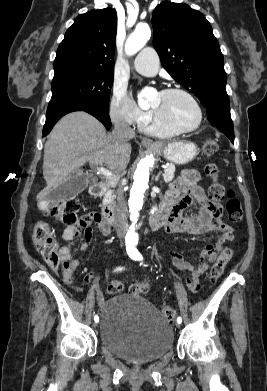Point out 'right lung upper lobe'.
Listing matches in <instances>:
<instances>
[{"label": "right lung upper lobe", "mask_w": 267, "mask_h": 391, "mask_svg": "<svg viewBox=\"0 0 267 391\" xmlns=\"http://www.w3.org/2000/svg\"><path fill=\"white\" fill-rule=\"evenodd\" d=\"M117 13L91 10L75 18L54 61V76L74 71L113 73Z\"/></svg>", "instance_id": "obj_1"}]
</instances>
